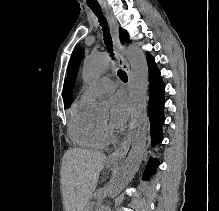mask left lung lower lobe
<instances>
[{"instance_id":"left-lung-lower-lobe-1","label":"left lung lower lobe","mask_w":219,"mask_h":211,"mask_svg":"<svg viewBox=\"0 0 219 211\" xmlns=\"http://www.w3.org/2000/svg\"><path fill=\"white\" fill-rule=\"evenodd\" d=\"M149 67V119L151 124L152 143L156 144L162 141V124L164 122L163 107H164V90L165 86L162 82L160 71L156 67L154 58L147 55ZM158 161L150 159L146 171L143 175L144 180L150 179V175L155 173V168Z\"/></svg>"}]
</instances>
